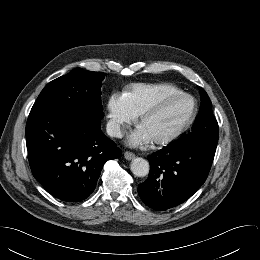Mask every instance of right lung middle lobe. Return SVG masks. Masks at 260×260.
<instances>
[{
	"label": "right lung middle lobe",
	"instance_id": "right-lung-middle-lobe-1",
	"mask_svg": "<svg viewBox=\"0 0 260 260\" xmlns=\"http://www.w3.org/2000/svg\"><path fill=\"white\" fill-rule=\"evenodd\" d=\"M103 72L75 68L48 83L41 91L31 111L41 109L76 110L103 117L101 81Z\"/></svg>",
	"mask_w": 260,
	"mask_h": 260
}]
</instances>
